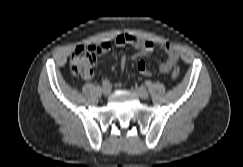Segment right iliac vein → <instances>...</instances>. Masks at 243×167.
Segmentation results:
<instances>
[{"label":"right iliac vein","mask_w":243,"mask_h":167,"mask_svg":"<svg viewBox=\"0 0 243 167\" xmlns=\"http://www.w3.org/2000/svg\"><path fill=\"white\" fill-rule=\"evenodd\" d=\"M101 90H102L103 95H105V96H108L111 92V89L109 86H103Z\"/></svg>","instance_id":"right-iliac-vein-1"}]
</instances>
